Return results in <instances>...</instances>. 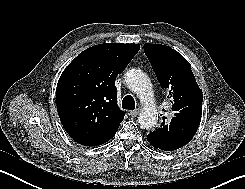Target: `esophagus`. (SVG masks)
Segmentation results:
<instances>
[{
	"instance_id": "34e87169",
	"label": "esophagus",
	"mask_w": 245,
	"mask_h": 189,
	"mask_svg": "<svg viewBox=\"0 0 245 189\" xmlns=\"http://www.w3.org/2000/svg\"><path fill=\"white\" fill-rule=\"evenodd\" d=\"M139 112H140V109H135V110H133V111L130 112V115L132 117H136L139 114Z\"/></svg>"
}]
</instances>
